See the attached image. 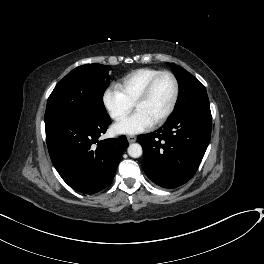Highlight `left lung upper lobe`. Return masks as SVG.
Wrapping results in <instances>:
<instances>
[{"label":"left lung upper lobe","instance_id":"5c2ea615","mask_svg":"<svg viewBox=\"0 0 264 264\" xmlns=\"http://www.w3.org/2000/svg\"><path fill=\"white\" fill-rule=\"evenodd\" d=\"M170 67L179 86L178 99L173 114L193 101L208 99L205 87L196 77L180 66L175 67V65L171 63Z\"/></svg>","mask_w":264,"mask_h":264}]
</instances>
